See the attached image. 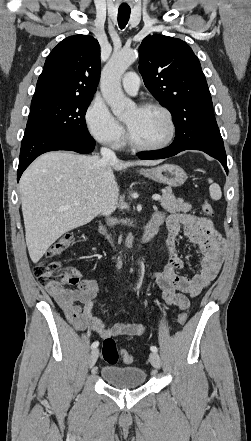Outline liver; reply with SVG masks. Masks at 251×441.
<instances>
[{
    "mask_svg": "<svg viewBox=\"0 0 251 441\" xmlns=\"http://www.w3.org/2000/svg\"><path fill=\"white\" fill-rule=\"evenodd\" d=\"M161 161H106L99 156L52 151L23 173L19 189L26 244L36 263L63 234L115 210L119 187L114 171ZM76 202H80L76 204Z\"/></svg>",
    "mask_w": 251,
    "mask_h": 441,
    "instance_id": "6515ba94",
    "label": "liver"
}]
</instances>
